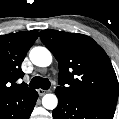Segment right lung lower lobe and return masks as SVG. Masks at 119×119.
Segmentation results:
<instances>
[{
	"label": "right lung lower lobe",
	"mask_w": 119,
	"mask_h": 119,
	"mask_svg": "<svg viewBox=\"0 0 119 119\" xmlns=\"http://www.w3.org/2000/svg\"><path fill=\"white\" fill-rule=\"evenodd\" d=\"M38 98L37 91L0 104V119H29Z\"/></svg>",
	"instance_id": "1"
}]
</instances>
